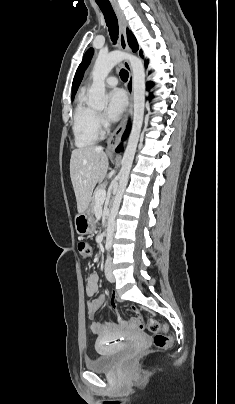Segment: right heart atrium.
<instances>
[{
  "mask_svg": "<svg viewBox=\"0 0 235 404\" xmlns=\"http://www.w3.org/2000/svg\"><path fill=\"white\" fill-rule=\"evenodd\" d=\"M97 119H98V123L100 126H103L105 124V121H104V118L102 117V115L98 114Z\"/></svg>",
  "mask_w": 235,
  "mask_h": 404,
  "instance_id": "1",
  "label": "right heart atrium"
}]
</instances>
